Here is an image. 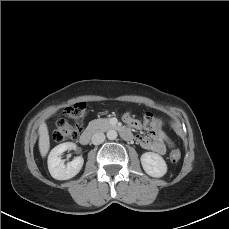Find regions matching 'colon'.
<instances>
[{"label": "colon", "mask_w": 229, "mask_h": 229, "mask_svg": "<svg viewBox=\"0 0 229 229\" xmlns=\"http://www.w3.org/2000/svg\"><path fill=\"white\" fill-rule=\"evenodd\" d=\"M66 114L72 120L69 122L66 119H59L54 127L52 138L55 142L72 140L77 136L83 127L84 118L86 115V107L84 103H77L66 110ZM145 126L148 129H153L154 123L151 119L145 120ZM181 152L177 148H173L170 153V160L173 163L179 162Z\"/></svg>", "instance_id": "obj_1"}]
</instances>
